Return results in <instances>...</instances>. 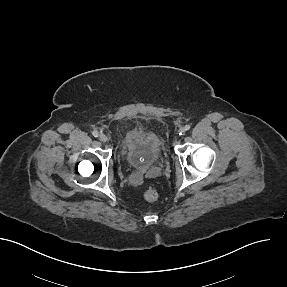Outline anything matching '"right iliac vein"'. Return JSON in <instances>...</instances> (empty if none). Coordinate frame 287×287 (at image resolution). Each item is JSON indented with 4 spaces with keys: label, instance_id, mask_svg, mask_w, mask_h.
I'll return each mask as SVG.
<instances>
[{
    "label": "right iliac vein",
    "instance_id": "obj_1",
    "mask_svg": "<svg viewBox=\"0 0 287 287\" xmlns=\"http://www.w3.org/2000/svg\"><path fill=\"white\" fill-rule=\"evenodd\" d=\"M99 140L101 142H107L108 141V137L105 134H100Z\"/></svg>",
    "mask_w": 287,
    "mask_h": 287
}]
</instances>
